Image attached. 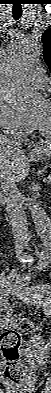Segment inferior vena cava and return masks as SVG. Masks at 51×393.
<instances>
[{"instance_id":"602c4592","label":"inferior vena cava","mask_w":51,"mask_h":393,"mask_svg":"<svg viewBox=\"0 0 51 393\" xmlns=\"http://www.w3.org/2000/svg\"><path fill=\"white\" fill-rule=\"evenodd\" d=\"M13 144L19 151L22 150L20 142L13 141ZM1 198L7 204V212L15 240V251L17 254H20L28 244V226L24 211V198L19 192L16 182L2 179ZM11 273L15 274L16 270L13 269Z\"/></svg>"}]
</instances>
